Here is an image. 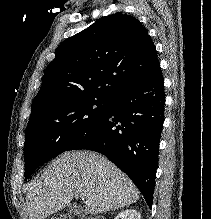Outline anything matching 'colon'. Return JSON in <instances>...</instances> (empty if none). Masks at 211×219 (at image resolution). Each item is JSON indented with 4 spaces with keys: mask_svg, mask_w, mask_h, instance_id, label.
<instances>
[{
    "mask_svg": "<svg viewBox=\"0 0 211 219\" xmlns=\"http://www.w3.org/2000/svg\"><path fill=\"white\" fill-rule=\"evenodd\" d=\"M49 219H75V218L70 216V215L63 214V215H58V216H55V217H51ZM83 219H103V217H101V216H89V217H86V218H83Z\"/></svg>",
    "mask_w": 211,
    "mask_h": 219,
    "instance_id": "5ec220e1",
    "label": "colon"
}]
</instances>
